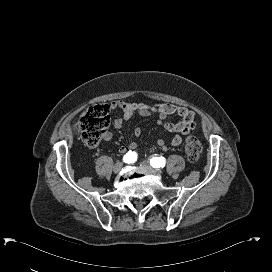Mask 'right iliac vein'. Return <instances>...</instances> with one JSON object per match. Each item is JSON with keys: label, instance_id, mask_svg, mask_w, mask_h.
Returning a JSON list of instances; mask_svg holds the SVG:
<instances>
[{"label": "right iliac vein", "instance_id": "1", "mask_svg": "<svg viewBox=\"0 0 272 272\" xmlns=\"http://www.w3.org/2000/svg\"><path fill=\"white\" fill-rule=\"evenodd\" d=\"M122 166H123V164L121 162L116 163L113 167V172L119 173L122 169Z\"/></svg>", "mask_w": 272, "mask_h": 272}]
</instances>
